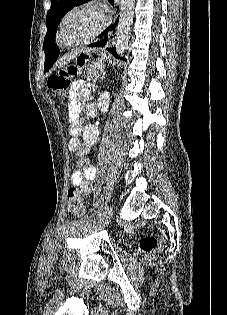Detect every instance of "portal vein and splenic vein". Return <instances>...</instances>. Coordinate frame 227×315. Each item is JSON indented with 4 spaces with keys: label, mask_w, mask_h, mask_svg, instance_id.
Listing matches in <instances>:
<instances>
[{
    "label": "portal vein and splenic vein",
    "mask_w": 227,
    "mask_h": 315,
    "mask_svg": "<svg viewBox=\"0 0 227 315\" xmlns=\"http://www.w3.org/2000/svg\"><path fill=\"white\" fill-rule=\"evenodd\" d=\"M95 65H96V64H95ZM96 66L101 68V66H100V65H96Z\"/></svg>",
    "instance_id": "1"
}]
</instances>
